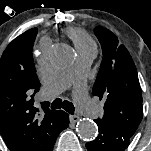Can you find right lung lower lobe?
<instances>
[{"instance_id":"right-lung-lower-lobe-1","label":"right lung lower lobe","mask_w":151,"mask_h":151,"mask_svg":"<svg viewBox=\"0 0 151 151\" xmlns=\"http://www.w3.org/2000/svg\"><path fill=\"white\" fill-rule=\"evenodd\" d=\"M69 125V115L62 110H58L55 124V133L58 134Z\"/></svg>"}]
</instances>
